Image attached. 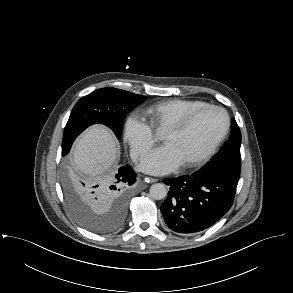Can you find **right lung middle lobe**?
Returning <instances> with one entry per match:
<instances>
[{
    "mask_svg": "<svg viewBox=\"0 0 293 293\" xmlns=\"http://www.w3.org/2000/svg\"><path fill=\"white\" fill-rule=\"evenodd\" d=\"M146 99L147 96L116 88H102L82 97L73 107L64 129L62 155L69 152L73 141L83 130L96 123L108 126L120 139L127 113ZM81 183L75 175L67 171L64 173L63 190L68 206L77 221L98 233H106L117 227L121 220L97 213L84 204L81 198Z\"/></svg>",
    "mask_w": 293,
    "mask_h": 293,
    "instance_id": "obj_1",
    "label": "right lung middle lobe"
}]
</instances>
